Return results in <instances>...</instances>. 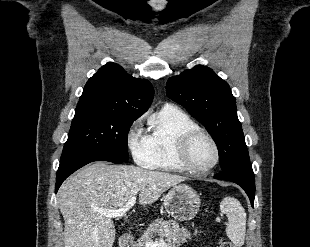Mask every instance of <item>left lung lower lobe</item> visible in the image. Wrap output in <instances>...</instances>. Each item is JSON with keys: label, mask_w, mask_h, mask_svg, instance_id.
<instances>
[{"label": "left lung lower lobe", "mask_w": 310, "mask_h": 247, "mask_svg": "<svg viewBox=\"0 0 310 247\" xmlns=\"http://www.w3.org/2000/svg\"><path fill=\"white\" fill-rule=\"evenodd\" d=\"M214 178L228 180L241 186L249 196L252 207L254 206L255 178L250 163L236 169L222 170Z\"/></svg>", "instance_id": "1"}]
</instances>
